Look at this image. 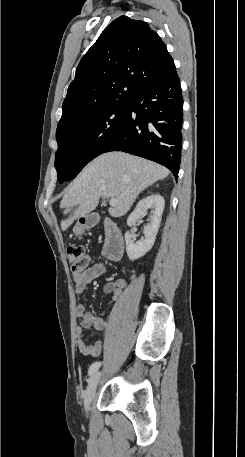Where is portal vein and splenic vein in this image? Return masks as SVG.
<instances>
[{"label": "portal vein and splenic vein", "instance_id": "18ae733b", "mask_svg": "<svg viewBox=\"0 0 245 457\" xmlns=\"http://www.w3.org/2000/svg\"><path fill=\"white\" fill-rule=\"evenodd\" d=\"M109 204L110 206H115V204H118V198H111Z\"/></svg>", "mask_w": 245, "mask_h": 457}]
</instances>
